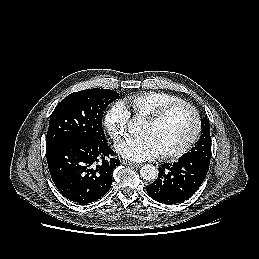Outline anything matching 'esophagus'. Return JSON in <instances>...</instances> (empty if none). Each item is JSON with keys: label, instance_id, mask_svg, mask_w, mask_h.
Instances as JSON below:
<instances>
[{"label": "esophagus", "instance_id": "esophagus-1", "mask_svg": "<svg viewBox=\"0 0 259 259\" xmlns=\"http://www.w3.org/2000/svg\"><path fill=\"white\" fill-rule=\"evenodd\" d=\"M123 164H125V165H131V166H134V167H136V168H139V167H141L142 166V164H139V163H132V162H128V161H123Z\"/></svg>", "mask_w": 259, "mask_h": 259}]
</instances>
